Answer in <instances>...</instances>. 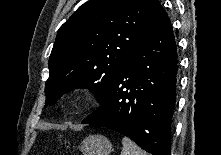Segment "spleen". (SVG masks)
<instances>
[{"label": "spleen", "mask_w": 221, "mask_h": 155, "mask_svg": "<svg viewBox=\"0 0 221 155\" xmlns=\"http://www.w3.org/2000/svg\"><path fill=\"white\" fill-rule=\"evenodd\" d=\"M123 150L121 155H146V153L139 148L132 140L127 137L122 139Z\"/></svg>", "instance_id": "spleen-1"}]
</instances>
